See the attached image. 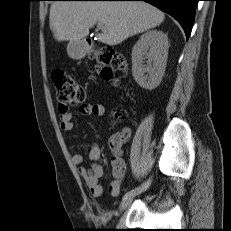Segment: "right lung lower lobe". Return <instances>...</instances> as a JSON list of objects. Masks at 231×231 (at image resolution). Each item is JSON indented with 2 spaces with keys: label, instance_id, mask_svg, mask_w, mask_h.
Masks as SVG:
<instances>
[{
  "label": "right lung lower lobe",
  "instance_id": "1",
  "mask_svg": "<svg viewBox=\"0 0 231 231\" xmlns=\"http://www.w3.org/2000/svg\"><path fill=\"white\" fill-rule=\"evenodd\" d=\"M101 1H146L170 14L182 26L186 38H189L194 24L197 2L199 0H101Z\"/></svg>",
  "mask_w": 231,
  "mask_h": 231
}]
</instances>
